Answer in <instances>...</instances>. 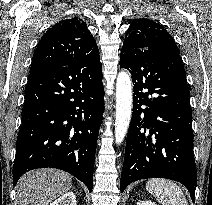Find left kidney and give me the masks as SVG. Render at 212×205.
Masks as SVG:
<instances>
[{
    "mask_svg": "<svg viewBox=\"0 0 212 205\" xmlns=\"http://www.w3.org/2000/svg\"><path fill=\"white\" fill-rule=\"evenodd\" d=\"M137 205H157V204H155L154 202L150 200H142V201H139Z\"/></svg>",
    "mask_w": 212,
    "mask_h": 205,
    "instance_id": "obj_1",
    "label": "left kidney"
}]
</instances>
